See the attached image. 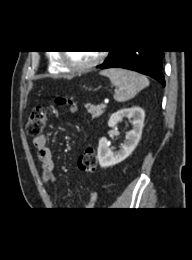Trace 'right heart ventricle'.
Returning <instances> with one entry per match:
<instances>
[{
  "mask_svg": "<svg viewBox=\"0 0 192 260\" xmlns=\"http://www.w3.org/2000/svg\"><path fill=\"white\" fill-rule=\"evenodd\" d=\"M49 70L53 73L68 72V69L62 65L60 56L57 53L50 54L49 56Z\"/></svg>",
  "mask_w": 192,
  "mask_h": 260,
  "instance_id": "1",
  "label": "right heart ventricle"
}]
</instances>
